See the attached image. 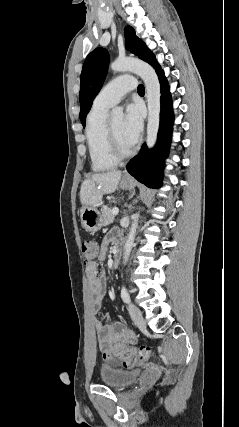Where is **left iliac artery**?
Wrapping results in <instances>:
<instances>
[{
	"label": "left iliac artery",
	"mask_w": 239,
	"mask_h": 427,
	"mask_svg": "<svg viewBox=\"0 0 239 427\" xmlns=\"http://www.w3.org/2000/svg\"><path fill=\"white\" fill-rule=\"evenodd\" d=\"M121 298L125 303H130V295L124 286L121 289Z\"/></svg>",
	"instance_id": "left-iliac-artery-1"
}]
</instances>
